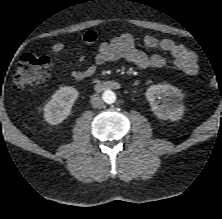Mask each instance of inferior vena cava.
Wrapping results in <instances>:
<instances>
[{"instance_id":"inferior-vena-cava-1","label":"inferior vena cava","mask_w":222,"mask_h":219,"mask_svg":"<svg viewBox=\"0 0 222 219\" xmlns=\"http://www.w3.org/2000/svg\"><path fill=\"white\" fill-rule=\"evenodd\" d=\"M91 105L93 108L100 109L103 107L104 102L98 94H94L91 97Z\"/></svg>"}]
</instances>
